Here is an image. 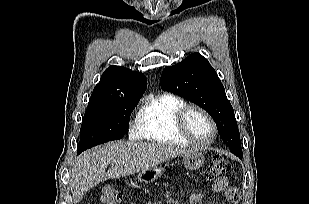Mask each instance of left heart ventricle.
I'll list each match as a JSON object with an SVG mask.
<instances>
[{"label": "left heart ventricle", "mask_w": 309, "mask_h": 204, "mask_svg": "<svg viewBox=\"0 0 309 204\" xmlns=\"http://www.w3.org/2000/svg\"><path fill=\"white\" fill-rule=\"evenodd\" d=\"M187 126L191 134L199 141L212 137V128L208 120L198 111H191L187 116Z\"/></svg>", "instance_id": "obj_1"}]
</instances>
